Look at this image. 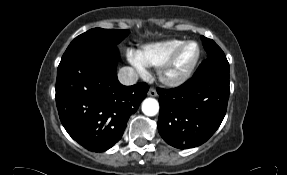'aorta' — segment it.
<instances>
[{"label":"aorta","mask_w":287,"mask_h":175,"mask_svg":"<svg viewBox=\"0 0 287 175\" xmlns=\"http://www.w3.org/2000/svg\"><path fill=\"white\" fill-rule=\"evenodd\" d=\"M142 112L146 116H155L159 112V103L154 98H146L142 103Z\"/></svg>","instance_id":"obj_1"}]
</instances>
